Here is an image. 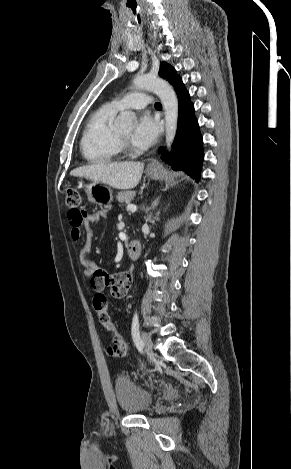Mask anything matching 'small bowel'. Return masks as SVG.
<instances>
[{"instance_id": "c3829d8e", "label": "small bowel", "mask_w": 291, "mask_h": 469, "mask_svg": "<svg viewBox=\"0 0 291 469\" xmlns=\"http://www.w3.org/2000/svg\"><path fill=\"white\" fill-rule=\"evenodd\" d=\"M105 212H97L91 215H83L78 217L75 213H68V222L70 225V235L74 242H78L81 238V229L90 230V224L99 221ZM80 263L86 268V274L90 277L89 286L94 295L103 293L107 287L110 288V294L117 299L123 298L132 282V271H123L110 274L98 267L95 263L88 261L84 255L80 256Z\"/></svg>"}]
</instances>
